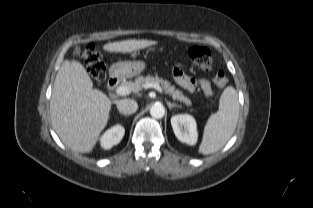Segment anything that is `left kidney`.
Instances as JSON below:
<instances>
[{"instance_id": "5707ae66", "label": "left kidney", "mask_w": 313, "mask_h": 208, "mask_svg": "<svg viewBox=\"0 0 313 208\" xmlns=\"http://www.w3.org/2000/svg\"><path fill=\"white\" fill-rule=\"evenodd\" d=\"M171 125L177 139L188 145H195L198 132L197 124L191 115L178 114L171 118Z\"/></svg>"}]
</instances>
